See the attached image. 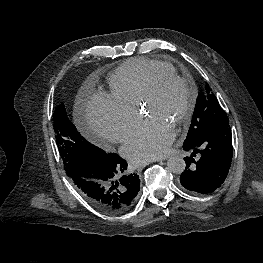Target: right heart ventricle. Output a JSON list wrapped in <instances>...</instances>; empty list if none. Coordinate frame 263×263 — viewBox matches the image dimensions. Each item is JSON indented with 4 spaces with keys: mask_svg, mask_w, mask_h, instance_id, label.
<instances>
[{
    "mask_svg": "<svg viewBox=\"0 0 263 263\" xmlns=\"http://www.w3.org/2000/svg\"><path fill=\"white\" fill-rule=\"evenodd\" d=\"M176 72L167 62L134 58L122 63L109 77L111 95L119 102L138 109L140 100L159 73Z\"/></svg>",
    "mask_w": 263,
    "mask_h": 263,
    "instance_id": "obj_1",
    "label": "right heart ventricle"
}]
</instances>
